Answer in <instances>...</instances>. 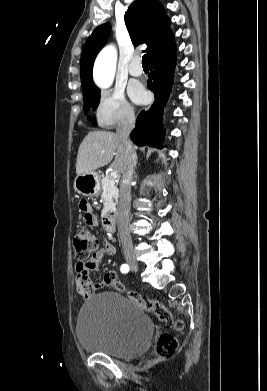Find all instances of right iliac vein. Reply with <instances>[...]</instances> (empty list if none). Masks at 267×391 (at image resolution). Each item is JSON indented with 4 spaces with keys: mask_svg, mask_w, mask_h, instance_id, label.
<instances>
[{
    "mask_svg": "<svg viewBox=\"0 0 267 391\" xmlns=\"http://www.w3.org/2000/svg\"><path fill=\"white\" fill-rule=\"evenodd\" d=\"M126 261H127V264L129 265V267L134 271V272H138L139 270V266H138V263L134 257V255L132 254H128L126 256Z\"/></svg>",
    "mask_w": 267,
    "mask_h": 391,
    "instance_id": "right-iliac-vein-1",
    "label": "right iliac vein"
}]
</instances>
